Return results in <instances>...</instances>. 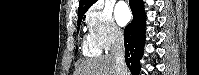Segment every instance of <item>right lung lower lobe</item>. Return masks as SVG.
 I'll list each match as a JSON object with an SVG mask.
<instances>
[{
    "instance_id": "98d812e1",
    "label": "right lung lower lobe",
    "mask_w": 199,
    "mask_h": 75,
    "mask_svg": "<svg viewBox=\"0 0 199 75\" xmlns=\"http://www.w3.org/2000/svg\"><path fill=\"white\" fill-rule=\"evenodd\" d=\"M133 21L124 29L125 62L132 75L140 71L139 60L145 43V11L141 0H129Z\"/></svg>"
}]
</instances>
